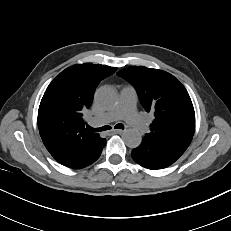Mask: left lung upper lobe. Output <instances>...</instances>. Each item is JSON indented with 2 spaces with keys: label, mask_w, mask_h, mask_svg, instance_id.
Wrapping results in <instances>:
<instances>
[{
  "label": "left lung upper lobe",
  "mask_w": 231,
  "mask_h": 231,
  "mask_svg": "<svg viewBox=\"0 0 231 231\" xmlns=\"http://www.w3.org/2000/svg\"><path fill=\"white\" fill-rule=\"evenodd\" d=\"M136 89L147 112L154 114L144 138L170 143L185 151L195 131V112L190 96L168 72L146 67H128L117 73Z\"/></svg>",
  "instance_id": "1"
}]
</instances>
